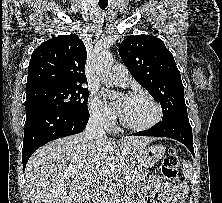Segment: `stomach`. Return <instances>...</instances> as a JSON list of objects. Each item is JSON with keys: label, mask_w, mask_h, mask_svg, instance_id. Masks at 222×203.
Wrapping results in <instances>:
<instances>
[{"label": "stomach", "mask_w": 222, "mask_h": 203, "mask_svg": "<svg viewBox=\"0 0 222 203\" xmlns=\"http://www.w3.org/2000/svg\"><path fill=\"white\" fill-rule=\"evenodd\" d=\"M165 154L163 145H151L140 149L136 153V158L142 167L148 168L153 166Z\"/></svg>", "instance_id": "0dacf381"}]
</instances>
